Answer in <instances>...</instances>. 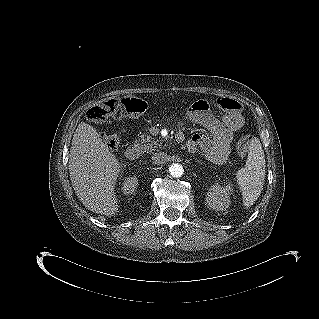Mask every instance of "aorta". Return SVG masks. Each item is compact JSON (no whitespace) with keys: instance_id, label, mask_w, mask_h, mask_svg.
Listing matches in <instances>:
<instances>
[{"instance_id":"aorta-1","label":"aorta","mask_w":319,"mask_h":319,"mask_svg":"<svg viewBox=\"0 0 319 319\" xmlns=\"http://www.w3.org/2000/svg\"><path fill=\"white\" fill-rule=\"evenodd\" d=\"M169 172L172 177L178 178L183 175L184 169L182 165L174 163L169 167Z\"/></svg>"}]
</instances>
